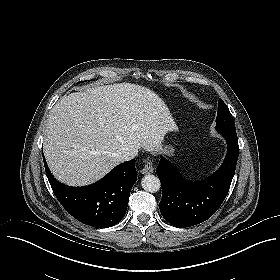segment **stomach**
<instances>
[{
	"mask_svg": "<svg viewBox=\"0 0 280 280\" xmlns=\"http://www.w3.org/2000/svg\"><path fill=\"white\" fill-rule=\"evenodd\" d=\"M162 152L168 156L173 155L174 149L171 146H164Z\"/></svg>",
	"mask_w": 280,
	"mask_h": 280,
	"instance_id": "1",
	"label": "stomach"
}]
</instances>
